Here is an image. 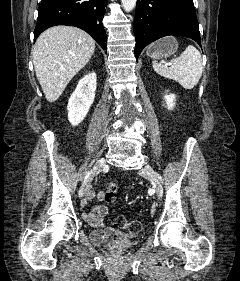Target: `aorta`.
<instances>
[{
    "label": "aorta",
    "mask_w": 240,
    "mask_h": 281,
    "mask_svg": "<svg viewBox=\"0 0 240 281\" xmlns=\"http://www.w3.org/2000/svg\"><path fill=\"white\" fill-rule=\"evenodd\" d=\"M137 0H121L122 7L126 12H130L134 9Z\"/></svg>",
    "instance_id": "obj_1"
}]
</instances>
